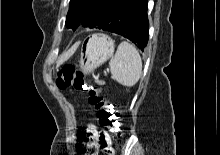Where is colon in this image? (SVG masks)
<instances>
[{
    "label": "colon",
    "instance_id": "obj_1",
    "mask_svg": "<svg viewBox=\"0 0 220 155\" xmlns=\"http://www.w3.org/2000/svg\"><path fill=\"white\" fill-rule=\"evenodd\" d=\"M56 85L59 89L70 88L76 91L85 92L88 95L89 104L96 110L99 124L105 131L98 134L95 141L88 147L89 151L85 155H96L97 147L105 153H112L108 132L115 133L116 138L121 131V115L109 104L102 94L101 88L94 85L83 72L73 65H65L58 72ZM115 140L114 138L112 139ZM111 142L112 144L114 142Z\"/></svg>",
    "mask_w": 220,
    "mask_h": 155
}]
</instances>
